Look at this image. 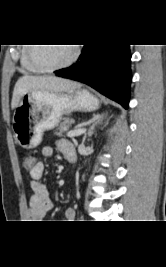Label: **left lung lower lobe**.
Returning a JSON list of instances; mask_svg holds the SVG:
<instances>
[{"label": "left lung lower lobe", "instance_id": "left-lung-lower-lobe-1", "mask_svg": "<svg viewBox=\"0 0 166 267\" xmlns=\"http://www.w3.org/2000/svg\"><path fill=\"white\" fill-rule=\"evenodd\" d=\"M79 58L78 64L55 74L85 83L127 109L131 83L129 45H84Z\"/></svg>", "mask_w": 166, "mask_h": 267}]
</instances>
